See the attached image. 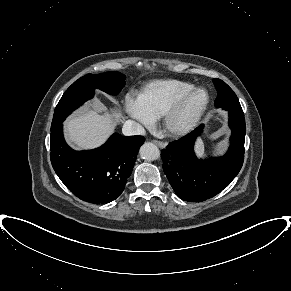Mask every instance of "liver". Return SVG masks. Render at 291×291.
<instances>
[{"label":"liver","mask_w":291,"mask_h":291,"mask_svg":"<svg viewBox=\"0 0 291 291\" xmlns=\"http://www.w3.org/2000/svg\"><path fill=\"white\" fill-rule=\"evenodd\" d=\"M104 109V108H102ZM120 111H108L103 114L88 109L71 116L65 123L67 141L78 149H92L100 146L114 130L120 120Z\"/></svg>","instance_id":"1"}]
</instances>
